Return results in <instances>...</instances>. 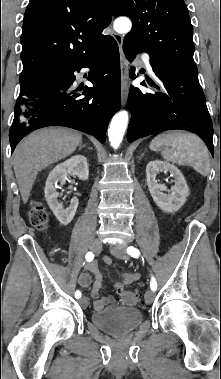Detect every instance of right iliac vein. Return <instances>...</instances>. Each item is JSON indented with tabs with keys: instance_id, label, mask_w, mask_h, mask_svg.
<instances>
[{
	"instance_id": "right-iliac-vein-1",
	"label": "right iliac vein",
	"mask_w": 221,
	"mask_h": 379,
	"mask_svg": "<svg viewBox=\"0 0 221 379\" xmlns=\"http://www.w3.org/2000/svg\"><path fill=\"white\" fill-rule=\"evenodd\" d=\"M91 250L95 253V254H99L102 250V243L100 240H95L92 245H91ZM79 303L81 304V306L83 307H86L88 305V299L86 297H82L79 301Z\"/></svg>"
}]
</instances>
